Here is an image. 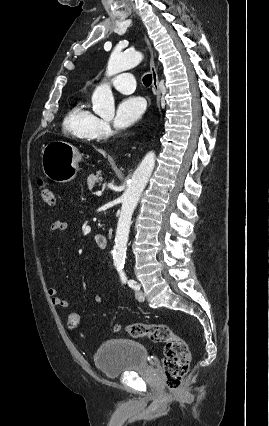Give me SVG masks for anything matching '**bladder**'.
Returning <instances> with one entry per match:
<instances>
[{
    "mask_svg": "<svg viewBox=\"0 0 269 426\" xmlns=\"http://www.w3.org/2000/svg\"><path fill=\"white\" fill-rule=\"evenodd\" d=\"M146 348L135 340L113 338L103 343L93 355L100 372L109 378L148 366Z\"/></svg>",
    "mask_w": 269,
    "mask_h": 426,
    "instance_id": "obj_1",
    "label": "bladder"
}]
</instances>
